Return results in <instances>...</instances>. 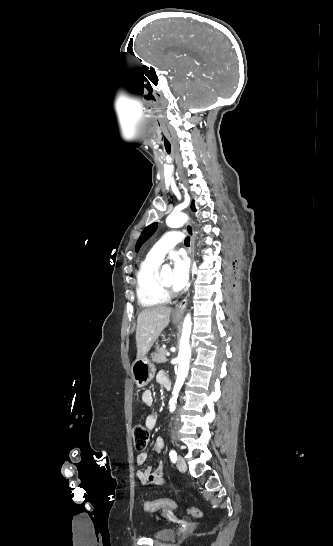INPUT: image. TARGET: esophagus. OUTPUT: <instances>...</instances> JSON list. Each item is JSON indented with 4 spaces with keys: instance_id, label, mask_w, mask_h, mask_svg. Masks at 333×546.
<instances>
[{
    "instance_id": "esophagus-1",
    "label": "esophagus",
    "mask_w": 333,
    "mask_h": 546,
    "mask_svg": "<svg viewBox=\"0 0 333 546\" xmlns=\"http://www.w3.org/2000/svg\"><path fill=\"white\" fill-rule=\"evenodd\" d=\"M186 231L190 235L191 242H190V249H189V255L191 258V262H194V248H195V232L193 229V226L190 222L186 224ZM189 293H187L186 297L175 307L173 311L174 316H182L188 302Z\"/></svg>"
}]
</instances>
